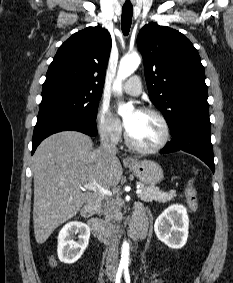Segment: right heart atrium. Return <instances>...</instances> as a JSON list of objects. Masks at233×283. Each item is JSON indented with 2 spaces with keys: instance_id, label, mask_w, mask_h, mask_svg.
I'll return each mask as SVG.
<instances>
[{
  "instance_id": "d8ad5b80",
  "label": "right heart atrium",
  "mask_w": 233,
  "mask_h": 283,
  "mask_svg": "<svg viewBox=\"0 0 233 283\" xmlns=\"http://www.w3.org/2000/svg\"><path fill=\"white\" fill-rule=\"evenodd\" d=\"M96 123L101 137L111 143L119 141L122 126L119 119L113 115L106 104H102L97 112Z\"/></svg>"
}]
</instances>
